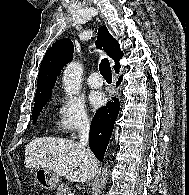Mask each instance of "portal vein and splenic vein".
<instances>
[{
    "mask_svg": "<svg viewBox=\"0 0 189 195\" xmlns=\"http://www.w3.org/2000/svg\"><path fill=\"white\" fill-rule=\"evenodd\" d=\"M68 195H74L73 193H68Z\"/></svg>",
    "mask_w": 189,
    "mask_h": 195,
    "instance_id": "obj_1",
    "label": "portal vein and splenic vein"
}]
</instances>
